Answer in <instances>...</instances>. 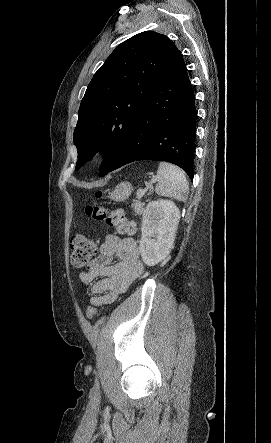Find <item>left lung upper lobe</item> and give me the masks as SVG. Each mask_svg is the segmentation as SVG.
Returning <instances> with one entry per match:
<instances>
[{
	"instance_id": "obj_1",
	"label": "left lung upper lobe",
	"mask_w": 271,
	"mask_h": 443,
	"mask_svg": "<svg viewBox=\"0 0 271 443\" xmlns=\"http://www.w3.org/2000/svg\"><path fill=\"white\" fill-rule=\"evenodd\" d=\"M177 50L168 37L153 31L139 33L116 47L92 78L80 104L74 130L76 170L100 152L105 154L100 176L110 171L133 122L145 108L150 84Z\"/></svg>"
}]
</instances>
